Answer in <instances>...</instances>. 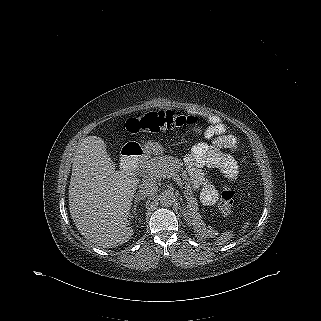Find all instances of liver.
Here are the masks:
<instances>
[{
    "instance_id": "1",
    "label": "liver",
    "mask_w": 321,
    "mask_h": 321,
    "mask_svg": "<svg viewBox=\"0 0 321 321\" xmlns=\"http://www.w3.org/2000/svg\"><path fill=\"white\" fill-rule=\"evenodd\" d=\"M105 142L88 136L79 143L69 185V210L78 231L103 248L126 243L128 220L139 180L115 170Z\"/></svg>"
}]
</instances>
